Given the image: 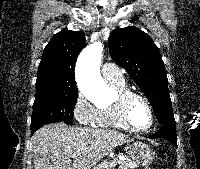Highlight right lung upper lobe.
Masks as SVG:
<instances>
[{"mask_svg":"<svg viewBox=\"0 0 200 169\" xmlns=\"http://www.w3.org/2000/svg\"><path fill=\"white\" fill-rule=\"evenodd\" d=\"M84 43L83 31L62 30L51 38L39 64L36 92L77 88L74 68Z\"/></svg>","mask_w":200,"mask_h":169,"instance_id":"cb5924a9","label":"right lung upper lobe"}]
</instances>
